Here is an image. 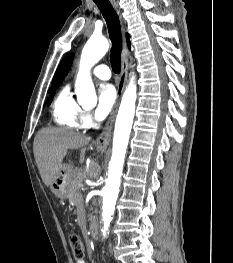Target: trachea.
I'll use <instances>...</instances> for the list:
<instances>
[{
	"instance_id": "obj_1",
	"label": "trachea",
	"mask_w": 233,
	"mask_h": 263,
	"mask_svg": "<svg viewBox=\"0 0 233 263\" xmlns=\"http://www.w3.org/2000/svg\"><path fill=\"white\" fill-rule=\"evenodd\" d=\"M107 23L109 36L112 42L110 62L115 73L121 70V28L119 17L108 0H94Z\"/></svg>"
}]
</instances>
